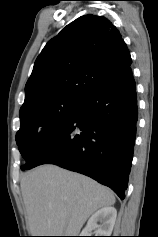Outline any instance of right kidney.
I'll return each mask as SVG.
<instances>
[{"instance_id": "right-kidney-1", "label": "right kidney", "mask_w": 158, "mask_h": 237, "mask_svg": "<svg viewBox=\"0 0 158 237\" xmlns=\"http://www.w3.org/2000/svg\"><path fill=\"white\" fill-rule=\"evenodd\" d=\"M116 217L117 211L112 206L99 209L89 218L80 236H90L89 233L93 230H95V236H111Z\"/></svg>"}]
</instances>
